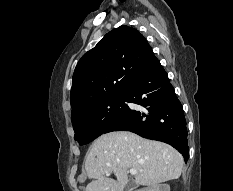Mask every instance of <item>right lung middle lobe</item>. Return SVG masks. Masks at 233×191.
Segmentation results:
<instances>
[{
  "label": "right lung middle lobe",
  "mask_w": 233,
  "mask_h": 191,
  "mask_svg": "<svg viewBox=\"0 0 233 191\" xmlns=\"http://www.w3.org/2000/svg\"><path fill=\"white\" fill-rule=\"evenodd\" d=\"M127 96L110 99L72 117L75 140L87 144L102 135L127 109Z\"/></svg>",
  "instance_id": "right-lung-middle-lobe-1"
}]
</instances>
